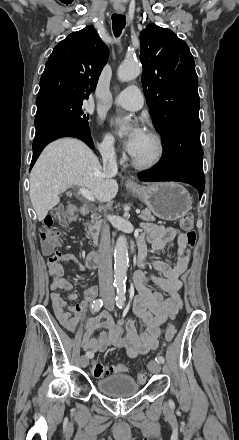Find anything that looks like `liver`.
Segmentation results:
<instances>
[{
  "mask_svg": "<svg viewBox=\"0 0 239 440\" xmlns=\"http://www.w3.org/2000/svg\"><path fill=\"white\" fill-rule=\"evenodd\" d=\"M71 186L87 188L99 202H111L118 192L116 180L107 176L86 144L61 138L46 146L30 174L29 194L38 222L59 204V194Z\"/></svg>",
  "mask_w": 239,
  "mask_h": 440,
  "instance_id": "liver-1",
  "label": "liver"
}]
</instances>
